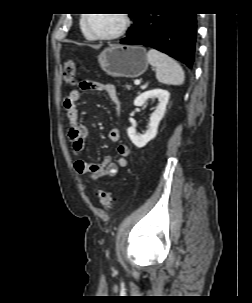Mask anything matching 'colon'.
Masks as SVG:
<instances>
[{
    "instance_id": "5ec220e1",
    "label": "colon",
    "mask_w": 252,
    "mask_h": 303,
    "mask_svg": "<svg viewBox=\"0 0 252 303\" xmlns=\"http://www.w3.org/2000/svg\"><path fill=\"white\" fill-rule=\"evenodd\" d=\"M76 65L73 61L69 60L64 65L63 78L67 84H73L75 82ZM100 204L105 209H110L115 201L114 196L108 191L99 192Z\"/></svg>"
}]
</instances>
